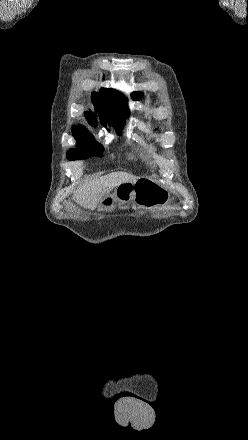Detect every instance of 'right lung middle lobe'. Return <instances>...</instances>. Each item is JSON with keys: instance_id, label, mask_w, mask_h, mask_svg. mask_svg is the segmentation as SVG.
Masks as SVG:
<instances>
[{"instance_id": "right-lung-middle-lobe-1", "label": "right lung middle lobe", "mask_w": 248, "mask_h": 440, "mask_svg": "<svg viewBox=\"0 0 248 440\" xmlns=\"http://www.w3.org/2000/svg\"><path fill=\"white\" fill-rule=\"evenodd\" d=\"M78 150L71 149V151L68 152L67 157L70 160H76L81 157L89 158L90 154L97 153L98 155L103 152V146L99 143H97L93 136H87L85 141L80 145L77 146Z\"/></svg>"}]
</instances>
